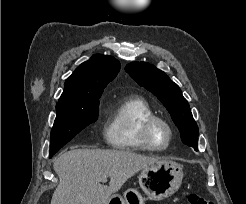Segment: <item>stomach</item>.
<instances>
[{"label":"stomach","mask_w":246,"mask_h":204,"mask_svg":"<svg viewBox=\"0 0 246 204\" xmlns=\"http://www.w3.org/2000/svg\"><path fill=\"white\" fill-rule=\"evenodd\" d=\"M139 184L149 199L162 200L173 195L181 186L183 168L173 161H159L144 168L139 177ZM144 199L134 189H128L123 196L112 195L106 204H143Z\"/></svg>","instance_id":"1"}]
</instances>
